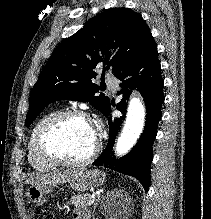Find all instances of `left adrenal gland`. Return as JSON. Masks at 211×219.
Here are the masks:
<instances>
[{
  "instance_id": "1",
  "label": "left adrenal gland",
  "mask_w": 211,
  "mask_h": 219,
  "mask_svg": "<svg viewBox=\"0 0 211 219\" xmlns=\"http://www.w3.org/2000/svg\"><path fill=\"white\" fill-rule=\"evenodd\" d=\"M98 202H99V197H98V199L96 200V202L94 203V206H93V211H92L93 219H95V218H94V217H95V209H96V207H97V205H98Z\"/></svg>"
}]
</instances>
